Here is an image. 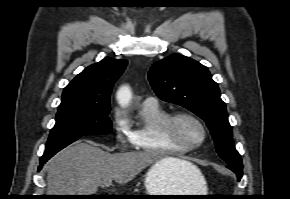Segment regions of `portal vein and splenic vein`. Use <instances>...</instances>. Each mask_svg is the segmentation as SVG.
Wrapping results in <instances>:
<instances>
[{"instance_id":"18ae733b","label":"portal vein and splenic vein","mask_w":290,"mask_h":199,"mask_svg":"<svg viewBox=\"0 0 290 199\" xmlns=\"http://www.w3.org/2000/svg\"><path fill=\"white\" fill-rule=\"evenodd\" d=\"M104 185H105L106 187L110 186V185H111V180L106 181V182L104 183Z\"/></svg>"}]
</instances>
